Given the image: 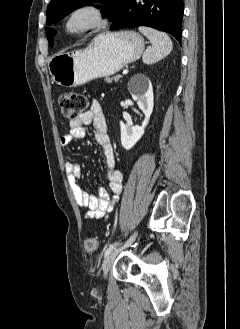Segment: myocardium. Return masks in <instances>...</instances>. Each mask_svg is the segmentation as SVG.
Wrapping results in <instances>:
<instances>
[{
    "mask_svg": "<svg viewBox=\"0 0 240 329\" xmlns=\"http://www.w3.org/2000/svg\"><path fill=\"white\" fill-rule=\"evenodd\" d=\"M82 13L90 14L91 21L82 25H75V19ZM107 22L105 9L96 2L86 1L73 6L67 12L62 20V30L67 35L76 36L101 29L106 26Z\"/></svg>",
    "mask_w": 240,
    "mask_h": 329,
    "instance_id": "obj_1",
    "label": "myocardium"
}]
</instances>
